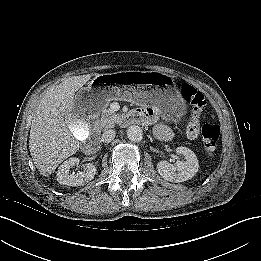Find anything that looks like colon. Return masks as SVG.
Segmentation results:
<instances>
[{"mask_svg":"<svg viewBox=\"0 0 261 261\" xmlns=\"http://www.w3.org/2000/svg\"><path fill=\"white\" fill-rule=\"evenodd\" d=\"M181 95L192 107L187 136L195 139L201 134L205 152L212 155L218 145L221 131L220 127L214 123L206 122L202 126L200 125V119L206 105L204 95L189 84L182 85Z\"/></svg>","mask_w":261,"mask_h":261,"instance_id":"colon-1","label":"colon"}]
</instances>
